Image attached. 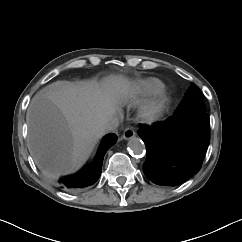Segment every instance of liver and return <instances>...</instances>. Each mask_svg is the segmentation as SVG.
Listing matches in <instances>:
<instances>
[{
	"instance_id": "liver-1",
	"label": "liver",
	"mask_w": 242,
	"mask_h": 242,
	"mask_svg": "<svg viewBox=\"0 0 242 242\" xmlns=\"http://www.w3.org/2000/svg\"><path fill=\"white\" fill-rule=\"evenodd\" d=\"M129 82L113 76L96 81H57L37 93L27 110L29 151L45 173L69 174L90 157L105 121L128 93Z\"/></svg>"
}]
</instances>
